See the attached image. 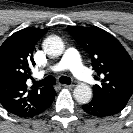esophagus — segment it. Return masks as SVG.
<instances>
[{
  "label": "esophagus",
  "instance_id": "obj_1",
  "mask_svg": "<svg viewBox=\"0 0 133 133\" xmlns=\"http://www.w3.org/2000/svg\"><path fill=\"white\" fill-rule=\"evenodd\" d=\"M62 87L71 89V88L74 87V85L73 84H70V85H68V84H62Z\"/></svg>",
  "mask_w": 133,
  "mask_h": 133
}]
</instances>
